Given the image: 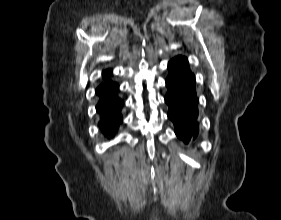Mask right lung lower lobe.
<instances>
[{
	"label": "right lung lower lobe",
	"mask_w": 281,
	"mask_h": 220,
	"mask_svg": "<svg viewBox=\"0 0 281 220\" xmlns=\"http://www.w3.org/2000/svg\"><path fill=\"white\" fill-rule=\"evenodd\" d=\"M119 85L115 82L100 85L96 89L97 95L100 96V101L96 107L100 114L98 126L102 134L111 138L117 131L119 124L122 122L120 110L123 102L116 95Z\"/></svg>",
	"instance_id": "1"
}]
</instances>
